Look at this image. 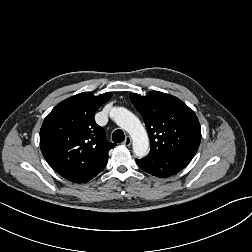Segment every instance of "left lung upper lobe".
I'll return each instance as SVG.
<instances>
[{
  "label": "left lung upper lobe",
  "instance_id": "obj_1",
  "mask_svg": "<svg viewBox=\"0 0 252 252\" xmlns=\"http://www.w3.org/2000/svg\"><path fill=\"white\" fill-rule=\"evenodd\" d=\"M130 100L147 127L151 141L149 157H194L200 145L201 129L192 109L175 96L159 91H152L147 96L133 93Z\"/></svg>",
  "mask_w": 252,
  "mask_h": 252
}]
</instances>
